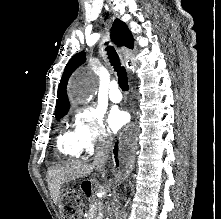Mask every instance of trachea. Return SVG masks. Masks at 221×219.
Instances as JSON below:
<instances>
[{
	"mask_svg": "<svg viewBox=\"0 0 221 219\" xmlns=\"http://www.w3.org/2000/svg\"><path fill=\"white\" fill-rule=\"evenodd\" d=\"M108 58L118 75L119 86L123 91L129 90L128 77L124 67L121 66L119 57L112 46L106 47Z\"/></svg>",
	"mask_w": 221,
	"mask_h": 219,
	"instance_id": "1",
	"label": "trachea"
}]
</instances>
